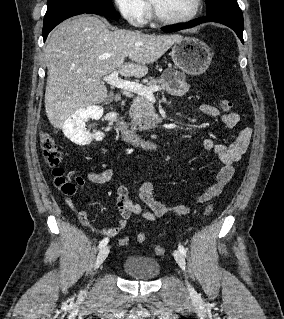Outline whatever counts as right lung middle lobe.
<instances>
[{
    "mask_svg": "<svg viewBox=\"0 0 284 319\" xmlns=\"http://www.w3.org/2000/svg\"><path fill=\"white\" fill-rule=\"evenodd\" d=\"M111 0H48L44 22L73 10L112 9Z\"/></svg>",
    "mask_w": 284,
    "mask_h": 319,
    "instance_id": "right-lung-middle-lobe-1",
    "label": "right lung middle lobe"
}]
</instances>
